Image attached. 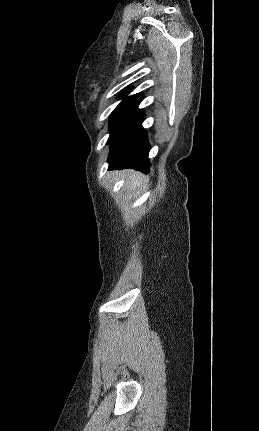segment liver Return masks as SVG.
Returning a JSON list of instances; mask_svg holds the SVG:
<instances>
[{"instance_id":"obj_1","label":"liver","mask_w":259,"mask_h":431,"mask_svg":"<svg viewBox=\"0 0 259 431\" xmlns=\"http://www.w3.org/2000/svg\"><path fill=\"white\" fill-rule=\"evenodd\" d=\"M143 178H144V176H142L139 173H135V172L131 173L130 172L129 177H128L129 187L130 186H134V187L138 186L143 181Z\"/></svg>"}]
</instances>
